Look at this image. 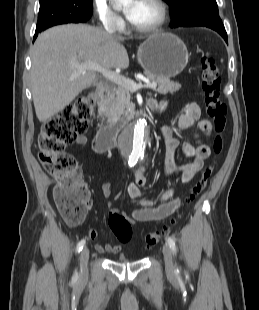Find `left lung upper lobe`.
Listing matches in <instances>:
<instances>
[{
    "instance_id": "obj_1",
    "label": "left lung upper lobe",
    "mask_w": 259,
    "mask_h": 310,
    "mask_svg": "<svg viewBox=\"0 0 259 310\" xmlns=\"http://www.w3.org/2000/svg\"><path fill=\"white\" fill-rule=\"evenodd\" d=\"M171 7V27L191 22L223 25L216 0H164Z\"/></svg>"
}]
</instances>
